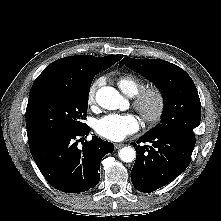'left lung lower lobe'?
<instances>
[{
  "instance_id": "left-lung-lower-lobe-1",
  "label": "left lung lower lobe",
  "mask_w": 221,
  "mask_h": 221,
  "mask_svg": "<svg viewBox=\"0 0 221 221\" xmlns=\"http://www.w3.org/2000/svg\"><path fill=\"white\" fill-rule=\"evenodd\" d=\"M134 146L137 156L131 171L134 187L145 193L153 192L173 181L189 165L196 141L175 135L145 134Z\"/></svg>"
}]
</instances>
